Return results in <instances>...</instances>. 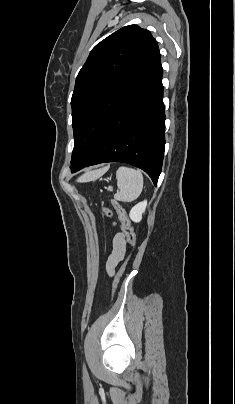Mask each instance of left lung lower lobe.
<instances>
[{"instance_id": "left-lung-lower-lobe-1", "label": "left lung lower lobe", "mask_w": 235, "mask_h": 404, "mask_svg": "<svg viewBox=\"0 0 235 404\" xmlns=\"http://www.w3.org/2000/svg\"><path fill=\"white\" fill-rule=\"evenodd\" d=\"M161 63L115 109L72 172L103 162H125L144 170L156 185L165 147Z\"/></svg>"}]
</instances>
